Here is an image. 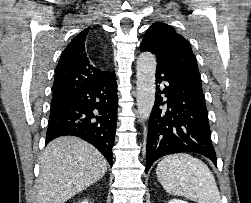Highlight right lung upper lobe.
Returning <instances> with one entry per match:
<instances>
[{
  "label": "right lung upper lobe",
  "mask_w": 251,
  "mask_h": 203,
  "mask_svg": "<svg viewBox=\"0 0 251 203\" xmlns=\"http://www.w3.org/2000/svg\"><path fill=\"white\" fill-rule=\"evenodd\" d=\"M90 27L83 30L63 51L55 72L52 103L64 99L88 83L103 80L111 73L92 65L85 43Z\"/></svg>",
  "instance_id": "cb5924a9"
}]
</instances>
